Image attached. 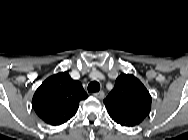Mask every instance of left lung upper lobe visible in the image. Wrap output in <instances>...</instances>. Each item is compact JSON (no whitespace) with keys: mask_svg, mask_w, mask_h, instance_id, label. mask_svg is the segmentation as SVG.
I'll return each mask as SVG.
<instances>
[{"mask_svg":"<svg viewBox=\"0 0 188 140\" xmlns=\"http://www.w3.org/2000/svg\"><path fill=\"white\" fill-rule=\"evenodd\" d=\"M110 117L118 124L133 127L140 124L151 109V96L133 75L121 74L113 90L103 101Z\"/></svg>","mask_w":188,"mask_h":140,"instance_id":"1","label":"left lung upper lobe"}]
</instances>
